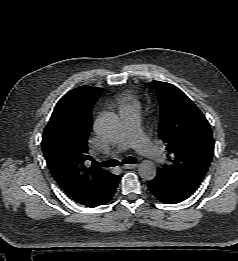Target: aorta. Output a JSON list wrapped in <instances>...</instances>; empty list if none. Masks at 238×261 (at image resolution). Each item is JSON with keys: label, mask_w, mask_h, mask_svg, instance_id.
<instances>
[{"label": "aorta", "mask_w": 238, "mask_h": 261, "mask_svg": "<svg viewBox=\"0 0 238 261\" xmlns=\"http://www.w3.org/2000/svg\"><path fill=\"white\" fill-rule=\"evenodd\" d=\"M96 131L107 140H115L120 131L119 118L114 113L105 114L97 121ZM138 172L142 179L149 181L156 176V166L152 161L144 160L140 163Z\"/></svg>", "instance_id": "obj_1"}]
</instances>
